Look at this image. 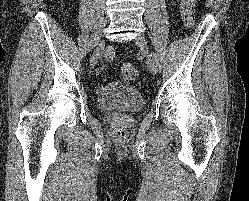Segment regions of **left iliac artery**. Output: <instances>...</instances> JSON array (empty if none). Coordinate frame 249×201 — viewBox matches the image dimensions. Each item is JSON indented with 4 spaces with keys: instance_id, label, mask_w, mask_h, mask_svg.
<instances>
[{
    "instance_id": "obj_1",
    "label": "left iliac artery",
    "mask_w": 249,
    "mask_h": 201,
    "mask_svg": "<svg viewBox=\"0 0 249 201\" xmlns=\"http://www.w3.org/2000/svg\"><path fill=\"white\" fill-rule=\"evenodd\" d=\"M151 57H152V59L154 60V63H155V65H156L157 71L160 72V71H161V65H160V63H159V60H158V58H157V55H156L155 53H152V54H151Z\"/></svg>"
}]
</instances>
